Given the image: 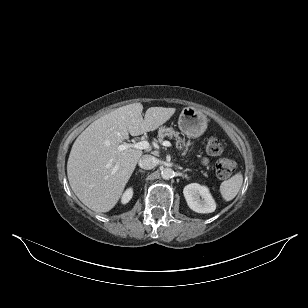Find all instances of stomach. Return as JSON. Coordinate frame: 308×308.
Wrapping results in <instances>:
<instances>
[{
    "mask_svg": "<svg viewBox=\"0 0 308 308\" xmlns=\"http://www.w3.org/2000/svg\"><path fill=\"white\" fill-rule=\"evenodd\" d=\"M207 121L206 115L201 111L193 107H186L179 116L178 127L187 137L196 138L205 132Z\"/></svg>",
    "mask_w": 308,
    "mask_h": 308,
    "instance_id": "stomach-1",
    "label": "stomach"
}]
</instances>
